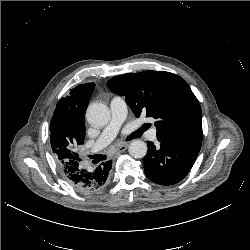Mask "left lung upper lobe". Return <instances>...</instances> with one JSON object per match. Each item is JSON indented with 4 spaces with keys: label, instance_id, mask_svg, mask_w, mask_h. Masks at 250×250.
Listing matches in <instances>:
<instances>
[{
    "label": "left lung upper lobe",
    "instance_id": "5c2ea615",
    "mask_svg": "<svg viewBox=\"0 0 250 250\" xmlns=\"http://www.w3.org/2000/svg\"><path fill=\"white\" fill-rule=\"evenodd\" d=\"M124 96L136 117L156 120L157 138L183 144L202 143L200 104L186 81L165 71H144L115 76L108 81Z\"/></svg>",
    "mask_w": 250,
    "mask_h": 250
}]
</instances>
